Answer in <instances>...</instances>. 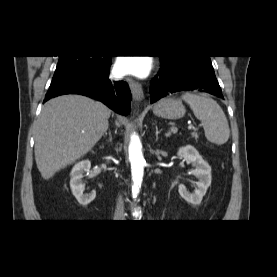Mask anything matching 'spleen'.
I'll use <instances>...</instances> for the list:
<instances>
[{
  "mask_svg": "<svg viewBox=\"0 0 277 277\" xmlns=\"http://www.w3.org/2000/svg\"><path fill=\"white\" fill-rule=\"evenodd\" d=\"M187 102L197 119L203 123L205 136L211 143L222 145L230 136L227 118L212 98L187 92L181 96Z\"/></svg>",
  "mask_w": 277,
  "mask_h": 277,
  "instance_id": "spleen-1",
  "label": "spleen"
}]
</instances>
